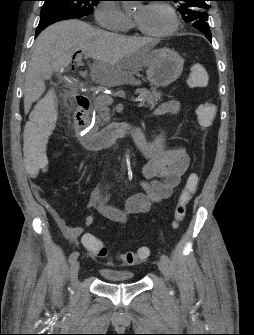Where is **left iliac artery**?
Returning a JSON list of instances; mask_svg holds the SVG:
<instances>
[{
  "label": "left iliac artery",
  "instance_id": "obj_1",
  "mask_svg": "<svg viewBox=\"0 0 254 335\" xmlns=\"http://www.w3.org/2000/svg\"><path fill=\"white\" fill-rule=\"evenodd\" d=\"M160 259L163 260V261H165L166 263L169 262V258H168V256L165 255V254H162V255L160 256Z\"/></svg>",
  "mask_w": 254,
  "mask_h": 335
}]
</instances>
